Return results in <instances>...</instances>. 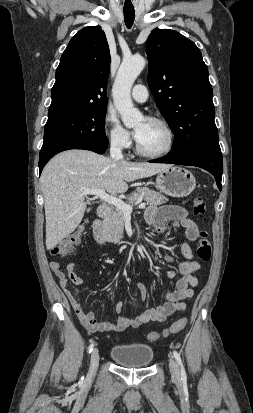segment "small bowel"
<instances>
[{
  "instance_id": "c3829d8e",
  "label": "small bowel",
  "mask_w": 253,
  "mask_h": 413,
  "mask_svg": "<svg viewBox=\"0 0 253 413\" xmlns=\"http://www.w3.org/2000/svg\"><path fill=\"white\" fill-rule=\"evenodd\" d=\"M146 221L153 225L158 233H162L168 226L174 229L184 228L187 241L181 245V254L185 258L179 263L178 271L180 277L177 279L174 290H168L165 294V301L156 308H149L134 318L119 317L116 322H99L94 312H85L80 301L68 289L69 284L79 286L83 283L81 277L75 272V263L67 264L65 273L58 261L50 262V269L58 279L60 287L63 289L68 301L75 311L82 325L90 332H120L127 328H138L143 324L163 322L174 312H182L186 309L185 300H190L194 296L193 287L198 283L194 273L200 269V264L193 259L191 243L197 239L198 227L193 220L188 217L185 208L175 205L162 207H149L145 214ZM166 260L171 262L172 257L166 256ZM168 278H174V271H169ZM138 288L142 301L147 296V287L144 283H139ZM123 308L122 302L117 303L116 312L120 313Z\"/></svg>"
}]
</instances>
